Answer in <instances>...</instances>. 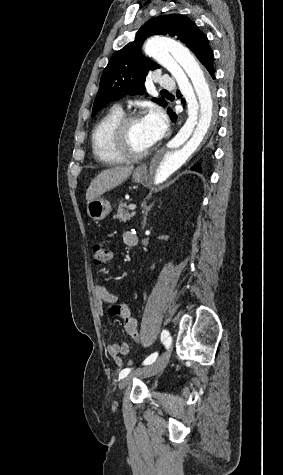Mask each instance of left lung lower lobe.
<instances>
[{
    "instance_id": "1",
    "label": "left lung lower lobe",
    "mask_w": 283,
    "mask_h": 475,
    "mask_svg": "<svg viewBox=\"0 0 283 475\" xmlns=\"http://www.w3.org/2000/svg\"><path fill=\"white\" fill-rule=\"evenodd\" d=\"M213 61H214V55H213V52L211 50L208 58L203 62V65L206 67V69L208 70V72L210 73L212 78L214 79L215 78L214 77L215 69L213 67ZM168 111H169V114L172 118V121H176L177 120V115L175 113H173V111L171 109H168ZM191 169L196 170V171H201L198 166H194Z\"/></svg>"
}]
</instances>
